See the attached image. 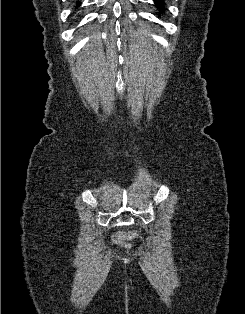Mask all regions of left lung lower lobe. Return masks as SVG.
<instances>
[{"label":"left lung lower lobe","instance_id":"obj_1","mask_svg":"<svg viewBox=\"0 0 245 314\" xmlns=\"http://www.w3.org/2000/svg\"><path fill=\"white\" fill-rule=\"evenodd\" d=\"M156 3H155V6L160 9V10H163L164 8V3H163V0H155Z\"/></svg>","mask_w":245,"mask_h":314}]
</instances>
